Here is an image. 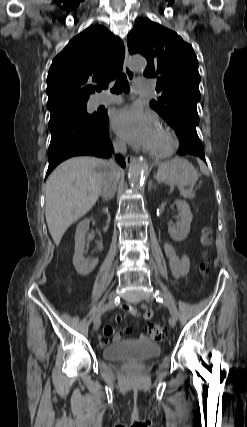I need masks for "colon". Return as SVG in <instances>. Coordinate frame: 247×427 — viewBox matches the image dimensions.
<instances>
[{"label": "colon", "mask_w": 247, "mask_h": 427, "mask_svg": "<svg viewBox=\"0 0 247 427\" xmlns=\"http://www.w3.org/2000/svg\"><path fill=\"white\" fill-rule=\"evenodd\" d=\"M212 240L211 230L208 227L203 228L201 242L207 247ZM201 270H205V264H201ZM147 335L154 340H161L165 335V329L158 324H150L147 328Z\"/></svg>", "instance_id": "1"}]
</instances>
